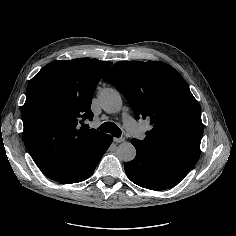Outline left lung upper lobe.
Instances as JSON below:
<instances>
[{
	"instance_id": "left-lung-upper-lobe-1",
	"label": "left lung upper lobe",
	"mask_w": 236,
	"mask_h": 236,
	"mask_svg": "<svg viewBox=\"0 0 236 236\" xmlns=\"http://www.w3.org/2000/svg\"><path fill=\"white\" fill-rule=\"evenodd\" d=\"M127 99L137 118L150 121L144 140H132L186 171L199 159L203 124L198 102L183 77L166 63L126 61L102 78Z\"/></svg>"
}]
</instances>
